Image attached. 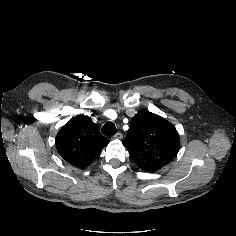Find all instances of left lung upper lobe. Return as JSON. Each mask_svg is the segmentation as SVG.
<instances>
[{
  "label": "left lung upper lobe",
  "instance_id": "5c2ea615",
  "mask_svg": "<svg viewBox=\"0 0 236 236\" xmlns=\"http://www.w3.org/2000/svg\"><path fill=\"white\" fill-rule=\"evenodd\" d=\"M122 143L141 169L154 172L175 158L180 138L170 122L142 109L133 117Z\"/></svg>",
  "mask_w": 236,
  "mask_h": 236
}]
</instances>
